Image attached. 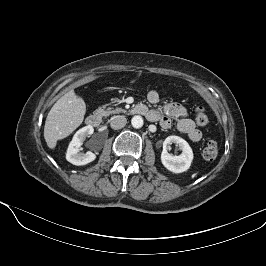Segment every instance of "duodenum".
Here are the masks:
<instances>
[{"instance_id": "410a0bca", "label": "duodenum", "mask_w": 266, "mask_h": 266, "mask_svg": "<svg viewBox=\"0 0 266 266\" xmlns=\"http://www.w3.org/2000/svg\"><path fill=\"white\" fill-rule=\"evenodd\" d=\"M131 112L133 114H140V115H145L146 109L142 105L135 106ZM101 123V118L97 114H91L86 118V124L90 127H98Z\"/></svg>"}]
</instances>
